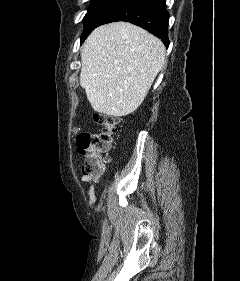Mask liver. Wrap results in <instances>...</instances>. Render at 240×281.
<instances>
[{"label": "liver", "mask_w": 240, "mask_h": 281, "mask_svg": "<svg viewBox=\"0 0 240 281\" xmlns=\"http://www.w3.org/2000/svg\"><path fill=\"white\" fill-rule=\"evenodd\" d=\"M160 39L128 22L97 27L81 53L80 85L94 111L121 117L144 101L165 63Z\"/></svg>", "instance_id": "1"}]
</instances>
